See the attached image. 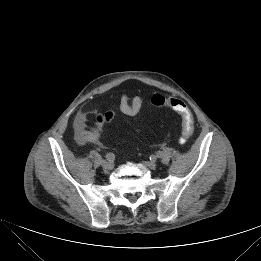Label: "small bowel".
Wrapping results in <instances>:
<instances>
[{
    "label": "small bowel",
    "instance_id": "obj_1",
    "mask_svg": "<svg viewBox=\"0 0 261 261\" xmlns=\"http://www.w3.org/2000/svg\"><path fill=\"white\" fill-rule=\"evenodd\" d=\"M143 105V98L141 96H134L130 98L127 94H122L120 97L119 109L127 116L137 115ZM88 115L85 112H80L75 117L73 128L76 140L79 144L92 142L101 144V137L105 120L103 114H98L95 119V127L88 128Z\"/></svg>",
    "mask_w": 261,
    "mask_h": 261
}]
</instances>
